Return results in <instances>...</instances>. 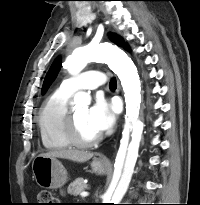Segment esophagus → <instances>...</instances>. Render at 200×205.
Instances as JSON below:
<instances>
[{
  "instance_id": "1",
  "label": "esophagus",
  "mask_w": 200,
  "mask_h": 205,
  "mask_svg": "<svg viewBox=\"0 0 200 205\" xmlns=\"http://www.w3.org/2000/svg\"><path fill=\"white\" fill-rule=\"evenodd\" d=\"M101 161H102V162H105V163L108 162L107 159H101Z\"/></svg>"
}]
</instances>
